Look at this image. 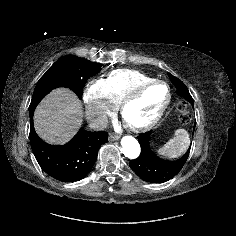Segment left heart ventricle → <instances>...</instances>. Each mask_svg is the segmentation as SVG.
I'll list each match as a JSON object with an SVG mask.
<instances>
[{
	"mask_svg": "<svg viewBox=\"0 0 236 236\" xmlns=\"http://www.w3.org/2000/svg\"><path fill=\"white\" fill-rule=\"evenodd\" d=\"M167 96V88L164 85L151 86L126 108L124 114L126 120L132 124H144L150 121L166 101Z\"/></svg>",
	"mask_w": 236,
	"mask_h": 236,
	"instance_id": "1",
	"label": "left heart ventricle"
}]
</instances>
